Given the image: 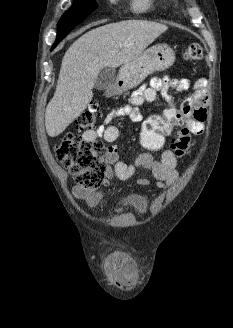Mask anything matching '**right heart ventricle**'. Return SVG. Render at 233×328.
Returning a JSON list of instances; mask_svg holds the SVG:
<instances>
[{"instance_id": "obj_1", "label": "right heart ventricle", "mask_w": 233, "mask_h": 328, "mask_svg": "<svg viewBox=\"0 0 233 328\" xmlns=\"http://www.w3.org/2000/svg\"><path fill=\"white\" fill-rule=\"evenodd\" d=\"M152 3V0H133V8L136 11L142 12L147 10Z\"/></svg>"}]
</instances>
